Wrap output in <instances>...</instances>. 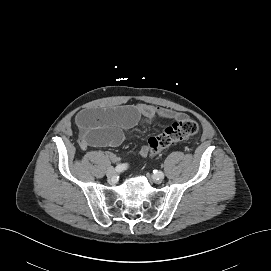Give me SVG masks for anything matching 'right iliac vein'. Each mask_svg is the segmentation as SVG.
Masks as SVG:
<instances>
[{
	"mask_svg": "<svg viewBox=\"0 0 271 271\" xmlns=\"http://www.w3.org/2000/svg\"><path fill=\"white\" fill-rule=\"evenodd\" d=\"M107 177L111 182H114L116 180V171L113 168L108 169Z\"/></svg>",
	"mask_w": 271,
	"mask_h": 271,
	"instance_id": "63e3f726",
	"label": "right iliac vein"
}]
</instances>
